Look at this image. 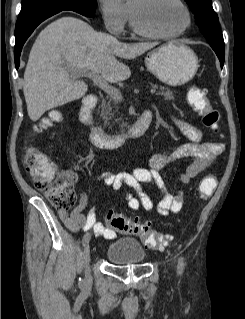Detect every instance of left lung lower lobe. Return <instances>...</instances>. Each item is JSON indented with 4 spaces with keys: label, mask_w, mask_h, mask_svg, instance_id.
<instances>
[{
    "label": "left lung lower lobe",
    "mask_w": 245,
    "mask_h": 319,
    "mask_svg": "<svg viewBox=\"0 0 245 319\" xmlns=\"http://www.w3.org/2000/svg\"><path fill=\"white\" fill-rule=\"evenodd\" d=\"M212 48L215 51V53L217 54V56L220 60L221 68H222L223 64H224V51L220 50L219 48H216V47H212Z\"/></svg>",
    "instance_id": "0a47b994"
}]
</instances>
